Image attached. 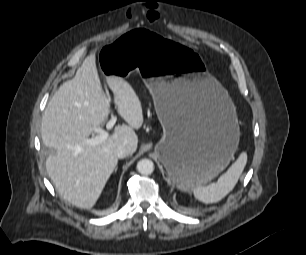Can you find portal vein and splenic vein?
<instances>
[{
  "label": "portal vein and splenic vein",
  "instance_id": "portal-vein-and-splenic-vein-1",
  "mask_svg": "<svg viewBox=\"0 0 306 255\" xmlns=\"http://www.w3.org/2000/svg\"><path fill=\"white\" fill-rule=\"evenodd\" d=\"M116 120H117L116 116H112L111 117V119L108 121V123L106 125L107 130H111L113 128V126L116 123ZM94 131L98 135H96L93 138L86 139V143L88 145H91V146L99 145V144L103 143L109 137V132L104 130V129H102V128L95 127Z\"/></svg>",
  "mask_w": 306,
  "mask_h": 255
}]
</instances>
